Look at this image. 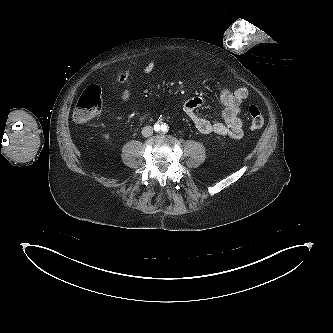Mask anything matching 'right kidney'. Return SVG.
Segmentation results:
<instances>
[{"label": "right kidney", "instance_id": "right-kidney-1", "mask_svg": "<svg viewBox=\"0 0 333 333\" xmlns=\"http://www.w3.org/2000/svg\"><path fill=\"white\" fill-rule=\"evenodd\" d=\"M104 138H105V139H108V138H109V136H108V135H105V136H104Z\"/></svg>", "mask_w": 333, "mask_h": 333}]
</instances>
